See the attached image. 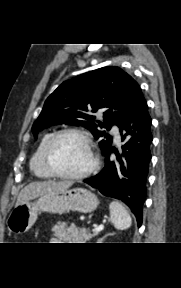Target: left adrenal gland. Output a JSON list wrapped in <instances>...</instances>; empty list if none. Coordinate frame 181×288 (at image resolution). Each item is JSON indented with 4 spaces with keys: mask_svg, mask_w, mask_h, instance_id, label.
<instances>
[{
    "mask_svg": "<svg viewBox=\"0 0 181 288\" xmlns=\"http://www.w3.org/2000/svg\"><path fill=\"white\" fill-rule=\"evenodd\" d=\"M110 234H106L105 236H103L102 238L98 239V243H102V241L107 237L109 236Z\"/></svg>",
    "mask_w": 181,
    "mask_h": 288,
    "instance_id": "obj_1",
    "label": "left adrenal gland"
}]
</instances>
